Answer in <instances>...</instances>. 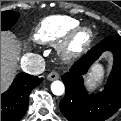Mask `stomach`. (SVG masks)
<instances>
[{
	"instance_id": "obj_1",
	"label": "stomach",
	"mask_w": 121,
	"mask_h": 121,
	"mask_svg": "<svg viewBox=\"0 0 121 121\" xmlns=\"http://www.w3.org/2000/svg\"><path fill=\"white\" fill-rule=\"evenodd\" d=\"M103 73V67L98 63L96 64L91 72L86 76V81L90 89L96 87L100 81Z\"/></svg>"
}]
</instances>
